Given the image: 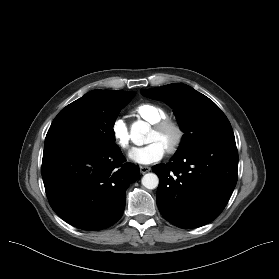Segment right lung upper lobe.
Segmentation results:
<instances>
[{
	"mask_svg": "<svg viewBox=\"0 0 279 279\" xmlns=\"http://www.w3.org/2000/svg\"><path fill=\"white\" fill-rule=\"evenodd\" d=\"M94 92L106 94V95H134V92H126V91H114V90H95Z\"/></svg>",
	"mask_w": 279,
	"mask_h": 279,
	"instance_id": "cb5924a9",
	"label": "right lung upper lobe"
}]
</instances>
